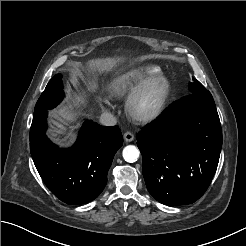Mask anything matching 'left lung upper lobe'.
Returning a JSON list of instances; mask_svg holds the SVG:
<instances>
[{"instance_id": "5c2ea615", "label": "left lung upper lobe", "mask_w": 246, "mask_h": 246, "mask_svg": "<svg viewBox=\"0 0 246 246\" xmlns=\"http://www.w3.org/2000/svg\"><path fill=\"white\" fill-rule=\"evenodd\" d=\"M204 91H206V88L198 80L193 78V81L189 83V94Z\"/></svg>"}]
</instances>
